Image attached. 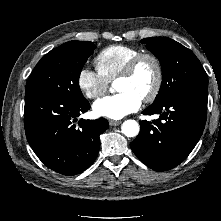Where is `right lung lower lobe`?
<instances>
[{
  "instance_id": "1",
  "label": "right lung lower lobe",
  "mask_w": 221,
  "mask_h": 221,
  "mask_svg": "<svg viewBox=\"0 0 221 221\" xmlns=\"http://www.w3.org/2000/svg\"><path fill=\"white\" fill-rule=\"evenodd\" d=\"M89 102H72L38 91L25 92L24 126L27 140L38 158L63 175H76L96 159L100 134L109 127L104 118L74 124Z\"/></svg>"
}]
</instances>
